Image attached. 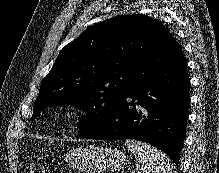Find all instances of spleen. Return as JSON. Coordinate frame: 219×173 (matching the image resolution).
Segmentation results:
<instances>
[{"instance_id":"3e777b00","label":"spleen","mask_w":219,"mask_h":173,"mask_svg":"<svg viewBox=\"0 0 219 173\" xmlns=\"http://www.w3.org/2000/svg\"><path fill=\"white\" fill-rule=\"evenodd\" d=\"M127 148L137 158L140 166L137 173H173L175 166L160 150L153 146L132 139L125 141Z\"/></svg>"}]
</instances>
